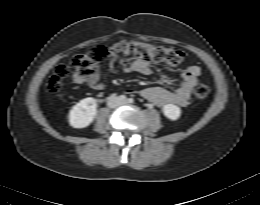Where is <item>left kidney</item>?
I'll return each mask as SVG.
<instances>
[{
    "instance_id": "5707ae66",
    "label": "left kidney",
    "mask_w": 260,
    "mask_h": 205,
    "mask_svg": "<svg viewBox=\"0 0 260 205\" xmlns=\"http://www.w3.org/2000/svg\"><path fill=\"white\" fill-rule=\"evenodd\" d=\"M163 114L170 120L175 121L181 115V109L174 104H167L162 108Z\"/></svg>"
}]
</instances>
